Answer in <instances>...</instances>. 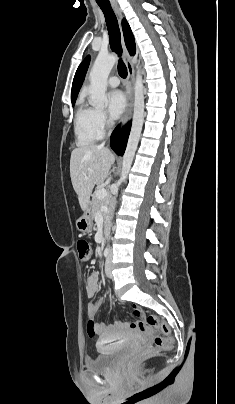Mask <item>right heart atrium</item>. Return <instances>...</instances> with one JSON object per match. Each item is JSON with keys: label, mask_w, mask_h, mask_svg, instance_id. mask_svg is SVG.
<instances>
[{"label": "right heart atrium", "mask_w": 235, "mask_h": 404, "mask_svg": "<svg viewBox=\"0 0 235 404\" xmlns=\"http://www.w3.org/2000/svg\"><path fill=\"white\" fill-rule=\"evenodd\" d=\"M95 123L100 132H103L111 125V121L107 114L101 109H95L94 111Z\"/></svg>", "instance_id": "obj_1"}]
</instances>
